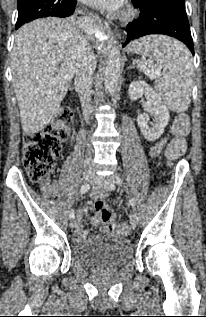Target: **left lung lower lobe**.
I'll return each mask as SVG.
<instances>
[{"mask_svg": "<svg viewBox=\"0 0 206 317\" xmlns=\"http://www.w3.org/2000/svg\"><path fill=\"white\" fill-rule=\"evenodd\" d=\"M135 7L140 8V15L138 19L127 25V40L123 46L145 35L164 34L182 41L194 55L185 8L160 3H145Z\"/></svg>", "mask_w": 206, "mask_h": 317, "instance_id": "1", "label": "left lung lower lobe"}]
</instances>
